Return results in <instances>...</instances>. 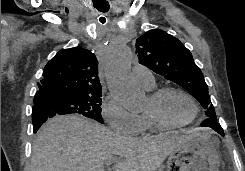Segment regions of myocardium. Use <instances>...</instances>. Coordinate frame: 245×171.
<instances>
[{
    "mask_svg": "<svg viewBox=\"0 0 245 171\" xmlns=\"http://www.w3.org/2000/svg\"><path fill=\"white\" fill-rule=\"evenodd\" d=\"M168 92H178L184 95L186 98L190 100L194 107V114L193 116L186 122L183 123H172L167 121L160 113L159 110V104L162 99V97L167 94ZM149 101H150V107L145 110V113L150 118V120L153 122L155 126H157L160 129L165 130H172V129H180L184 128L190 124H192L199 115V105L196 99L185 89L177 87V86H163L158 89H155L151 92L149 95Z\"/></svg>",
    "mask_w": 245,
    "mask_h": 171,
    "instance_id": "f54148a6",
    "label": "myocardium"
}]
</instances>
